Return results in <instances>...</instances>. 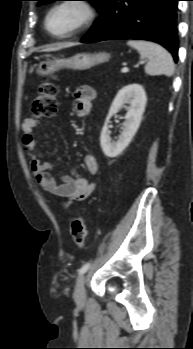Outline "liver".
Masks as SVG:
<instances>
[{"label":"liver","mask_w":193,"mask_h":349,"mask_svg":"<svg viewBox=\"0 0 193 349\" xmlns=\"http://www.w3.org/2000/svg\"><path fill=\"white\" fill-rule=\"evenodd\" d=\"M74 45H75L74 43H62V44H58V45H55L52 47H48V48L44 49L43 51H45V52L58 51L60 49L71 47Z\"/></svg>","instance_id":"6515ba94"}]
</instances>
